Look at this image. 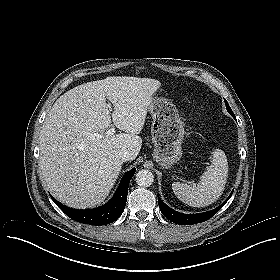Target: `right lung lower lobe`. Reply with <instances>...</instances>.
Instances as JSON below:
<instances>
[{"label":"right lung lower lobe","instance_id":"right-lung-lower-lobe-1","mask_svg":"<svg viewBox=\"0 0 280 280\" xmlns=\"http://www.w3.org/2000/svg\"><path fill=\"white\" fill-rule=\"evenodd\" d=\"M135 171L136 168L128 171L121 180V183L111 200L105 205L95 209L77 210L66 207L53 197L51 198L54 203L72 220L91 225L109 224L117 220L124 211L129 182Z\"/></svg>","mask_w":280,"mask_h":280}]
</instances>
